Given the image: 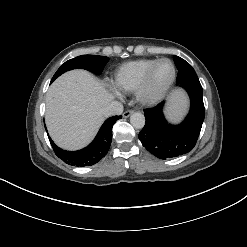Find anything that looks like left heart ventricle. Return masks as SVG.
<instances>
[{
    "label": "left heart ventricle",
    "mask_w": 247,
    "mask_h": 247,
    "mask_svg": "<svg viewBox=\"0 0 247 247\" xmlns=\"http://www.w3.org/2000/svg\"><path fill=\"white\" fill-rule=\"evenodd\" d=\"M172 76V66L167 61L158 63L153 69L147 90L149 93L155 94L161 91L170 81Z\"/></svg>",
    "instance_id": "left-heart-ventricle-1"
}]
</instances>
